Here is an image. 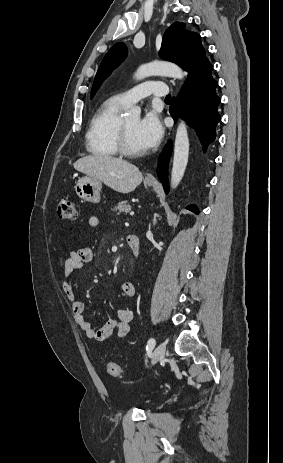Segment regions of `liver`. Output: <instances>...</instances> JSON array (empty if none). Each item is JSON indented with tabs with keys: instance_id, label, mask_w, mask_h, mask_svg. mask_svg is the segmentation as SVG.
Segmentation results:
<instances>
[{
	"instance_id": "obj_1",
	"label": "liver",
	"mask_w": 283,
	"mask_h": 463,
	"mask_svg": "<svg viewBox=\"0 0 283 463\" xmlns=\"http://www.w3.org/2000/svg\"><path fill=\"white\" fill-rule=\"evenodd\" d=\"M73 166L77 171L124 194L135 190L143 179L135 165L109 155H88L78 159Z\"/></svg>"
}]
</instances>
